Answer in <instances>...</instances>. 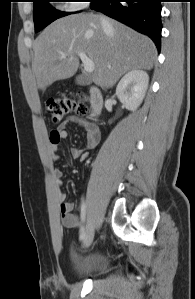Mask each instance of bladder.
<instances>
[{
	"label": "bladder",
	"mask_w": 195,
	"mask_h": 299,
	"mask_svg": "<svg viewBox=\"0 0 195 299\" xmlns=\"http://www.w3.org/2000/svg\"><path fill=\"white\" fill-rule=\"evenodd\" d=\"M109 268L110 264L106 254L96 251L76 259L74 275L85 279L98 278L107 274Z\"/></svg>",
	"instance_id": "obj_1"
}]
</instances>
